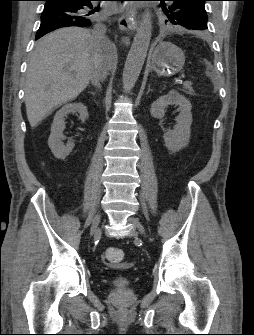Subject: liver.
I'll return each mask as SVG.
<instances>
[{
	"label": "liver",
	"instance_id": "6515ba94",
	"mask_svg": "<svg viewBox=\"0 0 254 335\" xmlns=\"http://www.w3.org/2000/svg\"><path fill=\"white\" fill-rule=\"evenodd\" d=\"M96 58L111 67L116 47L107 39L95 41L87 29L62 28L39 41L28 65L25 85L31 127L53 109L77 98L89 84Z\"/></svg>",
	"mask_w": 254,
	"mask_h": 335
}]
</instances>
